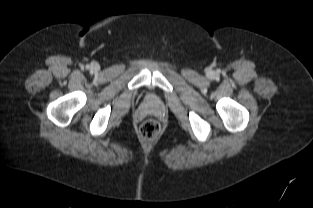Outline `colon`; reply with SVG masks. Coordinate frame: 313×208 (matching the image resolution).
<instances>
[{
	"label": "colon",
	"instance_id": "5ec220e1",
	"mask_svg": "<svg viewBox=\"0 0 313 208\" xmlns=\"http://www.w3.org/2000/svg\"><path fill=\"white\" fill-rule=\"evenodd\" d=\"M160 124L154 119L145 120L140 126V135L144 140H154L160 133Z\"/></svg>",
	"mask_w": 313,
	"mask_h": 208
}]
</instances>
